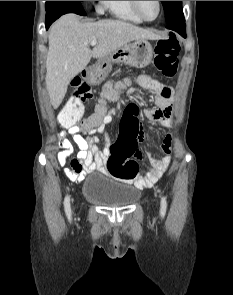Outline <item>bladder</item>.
I'll list each match as a JSON object with an SVG mask.
<instances>
[{
    "instance_id": "31cf9c89",
    "label": "bladder",
    "mask_w": 233,
    "mask_h": 295,
    "mask_svg": "<svg viewBox=\"0 0 233 295\" xmlns=\"http://www.w3.org/2000/svg\"><path fill=\"white\" fill-rule=\"evenodd\" d=\"M84 197L105 207H128L135 204L141 192L134 185L118 181L108 176H89L82 188Z\"/></svg>"
}]
</instances>
